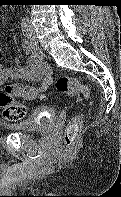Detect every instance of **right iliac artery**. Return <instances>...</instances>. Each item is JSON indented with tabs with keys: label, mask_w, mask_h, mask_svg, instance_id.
Returning <instances> with one entry per match:
<instances>
[{
	"label": "right iliac artery",
	"mask_w": 121,
	"mask_h": 197,
	"mask_svg": "<svg viewBox=\"0 0 121 197\" xmlns=\"http://www.w3.org/2000/svg\"><path fill=\"white\" fill-rule=\"evenodd\" d=\"M21 26H22L23 35L25 37L26 42L28 44H30L31 46L36 47V45L34 44V41H33V38H32L31 32H30V28H29L27 22L23 21ZM36 49H37V47H36Z\"/></svg>",
	"instance_id": "82829eb1"
}]
</instances>
